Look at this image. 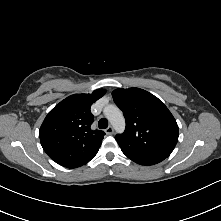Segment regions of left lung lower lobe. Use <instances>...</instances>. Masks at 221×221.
<instances>
[{
	"instance_id": "1",
	"label": "left lung lower lobe",
	"mask_w": 221,
	"mask_h": 221,
	"mask_svg": "<svg viewBox=\"0 0 221 221\" xmlns=\"http://www.w3.org/2000/svg\"><path fill=\"white\" fill-rule=\"evenodd\" d=\"M121 150L129 159L140 165H154L165 159L164 157L161 156L145 154L129 149L121 148Z\"/></svg>"
}]
</instances>
